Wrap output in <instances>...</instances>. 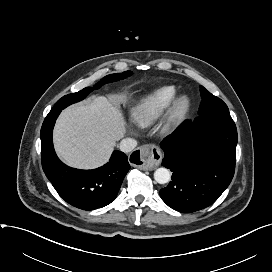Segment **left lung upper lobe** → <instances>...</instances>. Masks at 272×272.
I'll return each instance as SVG.
<instances>
[{
    "label": "left lung upper lobe",
    "instance_id": "5c2ea615",
    "mask_svg": "<svg viewBox=\"0 0 272 272\" xmlns=\"http://www.w3.org/2000/svg\"><path fill=\"white\" fill-rule=\"evenodd\" d=\"M202 102L199 108V115H203L206 113L220 111V110H228L227 105L218 97L212 95L208 90H206L203 86L200 87Z\"/></svg>",
    "mask_w": 272,
    "mask_h": 272
}]
</instances>
